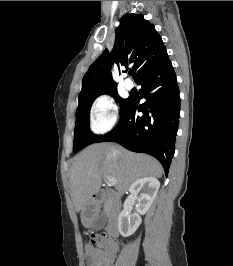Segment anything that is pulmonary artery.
Segmentation results:
<instances>
[{"mask_svg":"<svg viewBox=\"0 0 233 266\" xmlns=\"http://www.w3.org/2000/svg\"><path fill=\"white\" fill-rule=\"evenodd\" d=\"M124 87L127 89V90H131L133 87H134V84L131 80L129 79H125L124 80Z\"/></svg>","mask_w":233,"mask_h":266,"instance_id":"pulmonary-artery-1","label":"pulmonary artery"}]
</instances>
